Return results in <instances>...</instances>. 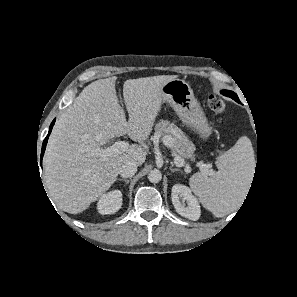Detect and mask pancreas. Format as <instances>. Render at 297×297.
<instances>
[{"label":"pancreas","instance_id":"cf45deb5","mask_svg":"<svg viewBox=\"0 0 297 297\" xmlns=\"http://www.w3.org/2000/svg\"><path fill=\"white\" fill-rule=\"evenodd\" d=\"M156 133L153 140L157 141L158 135H162L163 139H168L170 148L174 157L191 158L193 156L195 146L174 123L168 120H161L155 126Z\"/></svg>","mask_w":297,"mask_h":297}]
</instances>
